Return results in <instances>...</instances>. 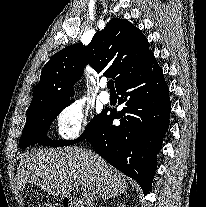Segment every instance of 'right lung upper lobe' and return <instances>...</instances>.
<instances>
[{
	"label": "right lung upper lobe",
	"instance_id": "right-lung-upper-lobe-1",
	"mask_svg": "<svg viewBox=\"0 0 206 207\" xmlns=\"http://www.w3.org/2000/svg\"><path fill=\"white\" fill-rule=\"evenodd\" d=\"M153 56L141 30L126 19L113 18L88 46L80 43L57 52L43 67L27 112L45 104L71 101L73 85L88 62L97 73L115 80L116 88Z\"/></svg>",
	"mask_w": 206,
	"mask_h": 207
}]
</instances>
